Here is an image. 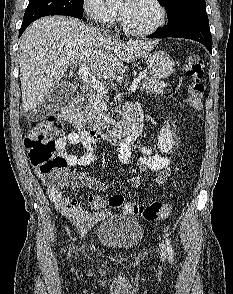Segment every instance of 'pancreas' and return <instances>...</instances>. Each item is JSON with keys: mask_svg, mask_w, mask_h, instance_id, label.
<instances>
[{"mask_svg": "<svg viewBox=\"0 0 233 294\" xmlns=\"http://www.w3.org/2000/svg\"><path fill=\"white\" fill-rule=\"evenodd\" d=\"M139 76L142 78L141 90H146L150 94H162L167 83L150 77L147 73L141 72ZM107 97L103 93L93 92L83 106V115L85 122L91 128L100 130L105 128V123L102 120L106 112Z\"/></svg>", "mask_w": 233, "mask_h": 294, "instance_id": "pancreas-1", "label": "pancreas"}]
</instances>
